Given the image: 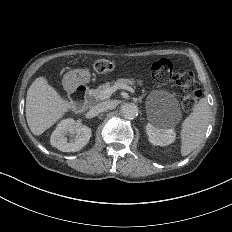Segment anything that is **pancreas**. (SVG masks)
Instances as JSON below:
<instances>
[{
    "label": "pancreas",
    "mask_w": 232,
    "mask_h": 232,
    "mask_svg": "<svg viewBox=\"0 0 232 232\" xmlns=\"http://www.w3.org/2000/svg\"><path fill=\"white\" fill-rule=\"evenodd\" d=\"M122 85H129L132 88H136L137 86L136 81L133 78H119L117 80H112L111 82H108L106 84H102L95 90L90 89V94L94 97L95 102H99L102 91L109 90L113 86H122Z\"/></svg>",
    "instance_id": "pancreas-1"
}]
</instances>
